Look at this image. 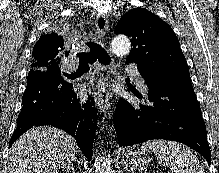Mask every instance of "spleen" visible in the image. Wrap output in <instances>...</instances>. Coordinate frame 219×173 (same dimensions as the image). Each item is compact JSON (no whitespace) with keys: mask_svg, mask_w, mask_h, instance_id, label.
I'll list each match as a JSON object with an SVG mask.
<instances>
[{"mask_svg":"<svg viewBox=\"0 0 219 173\" xmlns=\"http://www.w3.org/2000/svg\"><path fill=\"white\" fill-rule=\"evenodd\" d=\"M141 151H152L174 173H205L193 152L178 142L149 140L142 144Z\"/></svg>","mask_w":219,"mask_h":173,"instance_id":"spleen-1","label":"spleen"}]
</instances>
